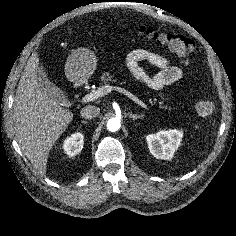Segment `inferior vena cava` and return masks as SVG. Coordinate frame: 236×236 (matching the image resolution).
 Masks as SVG:
<instances>
[{"instance_id": "602c4592", "label": "inferior vena cava", "mask_w": 236, "mask_h": 236, "mask_svg": "<svg viewBox=\"0 0 236 236\" xmlns=\"http://www.w3.org/2000/svg\"><path fill=\"white\" fill-rule=\"evenodd\" d=\"M100 108L94 106V105H87L86 107H83L80 111V114L85 119H92L99 115Z\"/></svg>"}]
</instances>
